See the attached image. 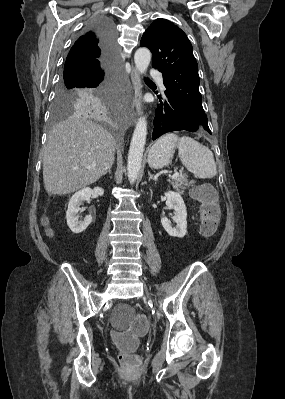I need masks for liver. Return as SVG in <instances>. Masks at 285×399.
<instances>
[{
	"instance_id": "1",
	"label": "liver",
	"mask_w": 285,
	"mask_h": 399,
	"mask_svg": "<svg viewBox=\"0 0 285 399\" xmlns=\"http://www.w3.org/2000/svg\"><path fill=\"white\" fill-rule=\"evenodd\" d=\"M116 142L102 126L74 113L49 133L43 182L50 195H66L93 184L115 159Z\"/></svg>"
}]
</instances>
